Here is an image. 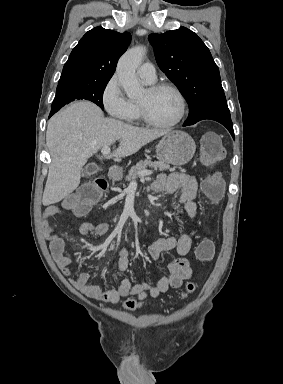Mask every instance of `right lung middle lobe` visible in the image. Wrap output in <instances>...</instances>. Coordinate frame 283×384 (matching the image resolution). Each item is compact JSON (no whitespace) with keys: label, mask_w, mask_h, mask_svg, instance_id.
I'll return each instance as SVG.
<instances>
[{"label":"right lung middle lobe","mask_w":283,"mask_h":384,"mask_svg":"<svg viewBox=\"0 0 283 384\" xmlns=\"http://www.w3.org/2000/svg\"><path fill=\"white\" fill-rule=\"evenodd\" d=\"M108 82L83 83L58 86L56 97L52 103V110H59L74 100L85 99L97 104L104 110L102 96Z\"/></svg>","instance_id":"1"}]
</instances>
